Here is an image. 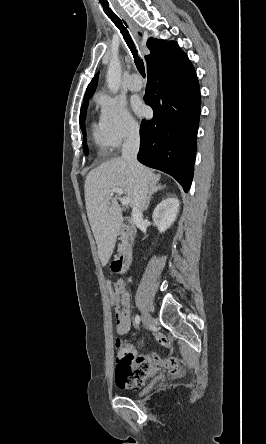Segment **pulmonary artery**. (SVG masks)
<instances>
[{
  "mask_svg": "<svg viewBox=\"0 0 266 444\" xmlns=\"http://www.w3.org/2000/svg\"><path fill=\"white\" fill-rule=\"evenodd\" d=\"M127 85L131 91H140L143 87V83H142L141 79L139 78V75L136 73H134L130 76Z\"/></svg>",
  "mask_w": 266,
  "mask_h": 444,
  "instance_id": "obj_1",
  "label": "pulmonary artery"
}]
</instances>
